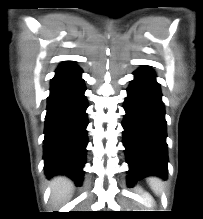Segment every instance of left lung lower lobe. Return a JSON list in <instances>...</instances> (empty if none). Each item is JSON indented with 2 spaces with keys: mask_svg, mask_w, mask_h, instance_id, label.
I'll use <instances>...</instances> for the list:
<instances>
[{
  "mask_svg": "<svg viewBox=\"0 0 203 219\" xmlns=\"http://www.w3.org/2000/svg\"><path fill=\"white\" fill-rule=\"evenodd\" d=\"M124 103L126 115L122 126L123 145L130 170L128 185L140 178L167 177V143L165 109L160 86L149 67L134 72Z\"/></svg>",
  "mask_w": 203,
  "mask_h": 219,
  "instance_id": "1",
  "label": "left lung lower lobe"
}]
</instances>
